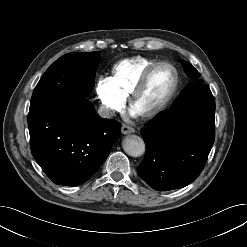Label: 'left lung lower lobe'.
Here are the masks:
<instances>
[{
  "label": "left lung lower lobe",
  "mask_w": 247,
  "mask_h": 247,
  "mask_svg": "<svg viewBox=\"0 0 247 247\" xmlns=\"http://www.w3.org/2000/svg\"><path fill=\"white\" fill-rule=\"evenodd\" d=\"M215 100L200 85L141 130L146 143L139 176L152 188L187 186L201 173L215 139Z\"/></svg>",
  "instance_id": "left-lung-lower-lobe-1"
}]
</instances>
